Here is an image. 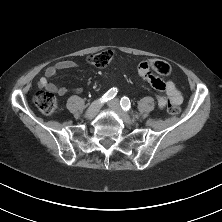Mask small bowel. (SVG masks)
Wrapping results in <instances>:
<instances>
[{
	"instance_id": "small-bowel-1",
	"label": "small bowel",
	"mask_w": 222,
	"mask_h": 222,
	"mask_svg": "<svg viewBox=\"0 0 222 222\" xmlns=\"http://www.w3.org/2000/svg\"><path fill=\"white\" fill-rule=\"evenodd\" d=\"M145 62H141L138 66V74L140 78H143L150 85H152L157 91L164 92V95H158V106L159 108H165L167 102H171L176 106L182 102V95L177 86L172 81H165L160 75L153 74L150 69L143 67ZM78 64L72 60L59 61L53 65H50L45 70V76L40 78L39 86L46 90L56 93L58 95H65L68 93V89L64 86L55 85L50 81L51 78L55 77L60 70L74 69L77 68ZM148 68V67H147ZM144 70V71H143ZM80 89H75L74 92H80Z\"/></svg>"
}]
</instances>
